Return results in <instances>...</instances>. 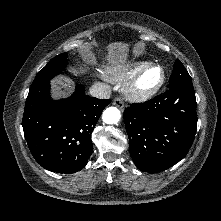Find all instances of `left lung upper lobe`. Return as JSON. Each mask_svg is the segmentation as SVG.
<instances>
[{
	"instance_id": "obj_1",
	"label": "left lung upper lobe",
	"mask_w": 221,
	"mask_h": 221,
	"mask_svg": "<svg viewBox=\"0 0 221 221\" xmlns=\"http://www.w3.org/2000/svg\"><path fill=\"white\" fill-rule=\"evenodd\" d=\"M182 80H192L183 64L177 59L169 79V87Z\"/></svg>"
}]
</instances>
